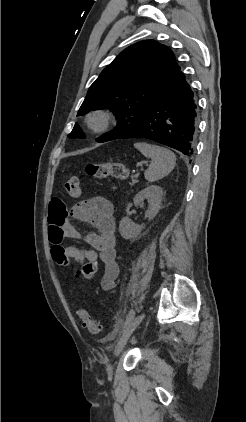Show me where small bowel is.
Instances as JSON below:
<instances>
[{
	"label": "small bowel",
	"instance_id": "1",
	"mask_svg": "<svg viewBox=\"0 0 246 422\" xmlns=\"http://www.w3.org/2000/svg\"><path fill=\"white\" fill-rule=\"evenodd\" d=\"M49 239L54 248H62L71 261L77 263H102L104 270L101 288L110 291L115 287L119 274L116 261L115 219L113 204L103 196L79 201L71 208L55 197L49 204ZM73 219L91 224L96 233L88 234L85 241L91 249L73 245L63 246L64 239H80L81 233L73 225Z\"/></svg>",
	"mask_w": 246,
	"mask_h": 422
}]
</instances>
